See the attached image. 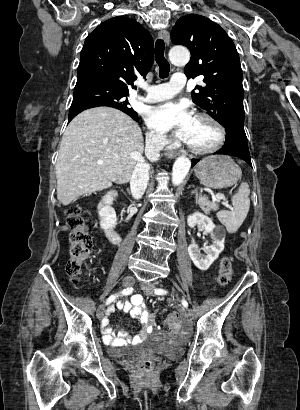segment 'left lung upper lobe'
I'll list each match as a JSON object with an SVG mask.
<instances>
[{
	"label": "left lung upper lobe",
	"mask_w": 300,
	"mask_h": 410,
	"mask_svg": "<svg viewBox=\"0 0 300 410\" xmlns=\"http://www.w3.org/2000/svg\"><path fill=\"white\" fill-rule=\"evenodd\" d=\"M175 45H184L191 59L184 72L188 78L204 76L205 86L192 91L195 104L225 128H244L242 69L236 47L227 33L208 18L190 14L180 18L171 31Z\"/></svg>",
	"instance_id": "5c2ea615"
}]
</instances>
